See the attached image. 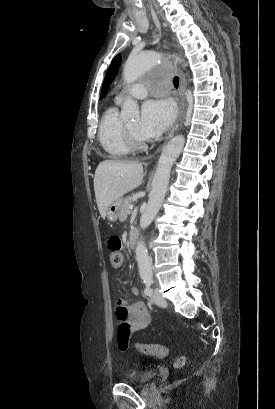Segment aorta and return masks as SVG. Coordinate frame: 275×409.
Instances as JSON below:
<instances>
[{"label":"aorta","instance_id":"aorta-1","mask_svg":"<svg viewBox=\"0 0 275 409\" xmlns=\"http://www.w3.org/2000/svg\"><path fill=\"white\" fill-rule=\"evenodd\" d=\"M166 59V51H128V58L125 62L123 72L126 82H133V80L139 78L141 74H144L145 70H147L146 65H160L161 60ZM175 60L176 62H180L181 58L175 56ZM120 118H122V120H139L140 114L137 100L130 98V96L125 98L122 104ZM184 144L185 136H183V134H177V136H173L168 144L164 146L154 174L147 207L143 215H141V229H147L153 219H155L164 200L172 164L176 158H178ZM136 261H138L141 279H143V281H152V267L143 241L137 243Z\"/></svg>","mask_w":275,"mask_h":409}]
</instances>
